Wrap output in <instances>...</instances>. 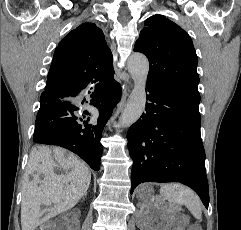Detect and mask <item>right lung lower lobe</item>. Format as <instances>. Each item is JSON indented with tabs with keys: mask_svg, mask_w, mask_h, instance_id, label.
Returning <instances> with one entry per match:
<instances>
[{
	"mask_svg": "<svg viewBox=\"0 0 241 230\" xmlns=\"http://www.w3.org/2000/svg\"><path fill=\"white\" fill-rule=\"evenodd\" d=\"M87 96L91 97L90 104L99 110L98 116L91 121L80 116L79 105ZM120 98L121 87L114 79L63 97L44 94L40 98L33 141L67 148L97 171L102 156V131Z\"/></svg>",
	"mask_w": 241,
	"mask_h": 230,
	"instance_id": "1",
	"label": "right lung lower lobe"
}]
</instances>
